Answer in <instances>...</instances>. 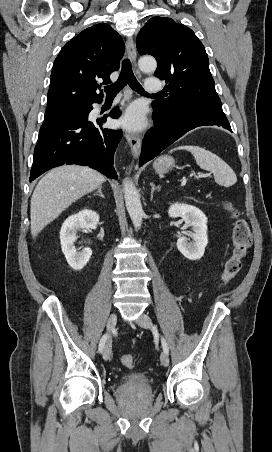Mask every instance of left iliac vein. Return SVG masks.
Listing matches in <instances>:
<instances>
[{
    "label": "left iliac vein",
    "mask_w": 272,
    "mask_h": 452,
    "mask_svg": "<svg viewBox=\"0 0 272 452\" xmlns=\"http://www.w3.org/2000/svg\"><path fill=\"white\" fill-rule=\"evenodd\" d=\"M137 324L143 328L151 329L152 328V321L150 317L147 314H142L139 319L137 320ZM160 361L163 366L169 365V357L168 354L165 351L161 352L160 355Z\"/></svg>",
    "instance_id": "obj_1"
}]
</instances>
